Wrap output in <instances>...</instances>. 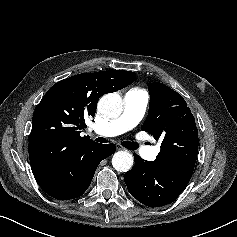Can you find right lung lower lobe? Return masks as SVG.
<instances>
[{
    "mask_svg": "<svg viewBox=\"0 0 237 237\" xmlns=\"http://www.w3.org/2000/svg\"><path fill=\"white\" fill-rule=\"evenodd\" d=\"M116 151L114 144L94 143L76 151L59 168L34 175L39 186L51 197L69 200L89 187L100 162Z\"/></svg>",
    "mask_w": 237,
    "mask_h": 237,
    "instance_id": "98d812e1",
    "label": "right lung lower lobe"
}]
</instances>
